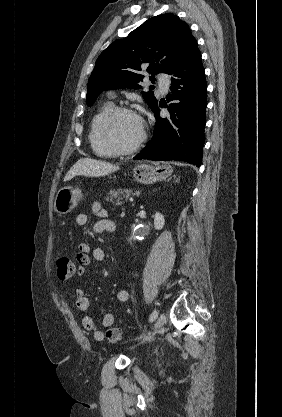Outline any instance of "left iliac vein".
I'll return each instance as SVG.
<instances>
[{
	"mask_svg": "<svg viewBox=\"0 0 282 417\" xmlns=\"http://www.w3.org/2000/svg\"><path fill=\"white\" fill-rule=\"evenodd\" d=\"M165 320H166V316H165V314H160L158 317H157V319H156V321H155V323H154V326H153V331H156V330H158L159 328H161L163 325H164V323H165Z\"/></svg>",
	"mask_w": 282,
	"mask_h": 417,
	"instance_id": "left-iliac-vein-1",
	"label": "left iliac vein"
}]
</instances>
